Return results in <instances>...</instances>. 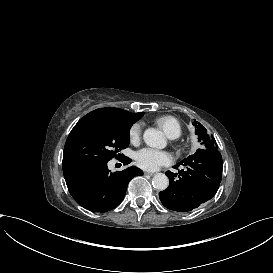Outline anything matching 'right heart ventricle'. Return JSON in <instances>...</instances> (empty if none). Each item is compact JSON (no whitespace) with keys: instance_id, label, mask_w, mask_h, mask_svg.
Masks as SVG:
<instances>
[{"instance_id":"e07e8e85","label":"right heart ventricle","mask_w":273,"mask_h":273,"mask_svg":"<svg viewBox=\"0 0 273 273\" xmlns=\"http://www.w3.org/2000/svg\"><path fill=\"white\" fill-rule=\"evenodd\" d=\"M154 122L170 139L179 138L182 134L183 124L173 115L166 114L159 116L154 120Z\"/></svg>"}]
</instances>
